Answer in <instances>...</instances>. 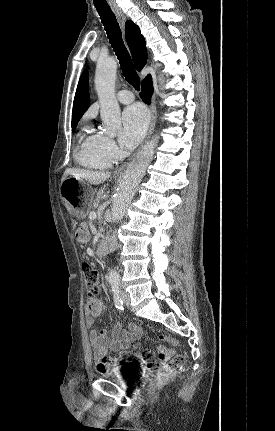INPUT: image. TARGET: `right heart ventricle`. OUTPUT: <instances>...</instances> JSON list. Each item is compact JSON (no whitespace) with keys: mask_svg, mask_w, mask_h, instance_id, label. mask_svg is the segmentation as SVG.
Here are the masks:
<instances>
[{"mask_svg":"<svg viewBox=\"0 0 275 431\" xmlns=\"http://www.w3.org/2000/svg\"><path fill=\"white\" fill-rule=\"evenodd\" d=\"M103 135L92 127H86L79 135V146L75 153L76 161L90 169H107L114 160L102 150Z\"/></svg>","mask_w":275,"mask_h":431,"instance_id":"e07e8e85","label":"right heart ventricle"}]
</instances>
